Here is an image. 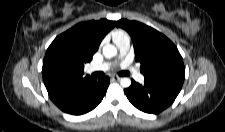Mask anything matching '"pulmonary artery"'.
Here are the masks:
<instances>
[{
	"instance_id": "1",
	"label": "pulmonary artery",
	"mask_w": 225,
	"mask_h": 132,
	"mask_svg": "<svg viewBox=\"0 0 225 132\" xmlns=\"http://www.w3.org/2000/svg\"><path fill=\"white\" fill-rule=\"evenodd\" d=\"M116 45L119 49L120 55L124 56L127 54L130 48V38H124L118 42H116ZM110 68L109 63H102V64H95L88 68V72H97V71H106ZM132 74L136 81L139 83H142L144 81V76L136 71H132Z\"/></svg>"
}]
</instances>
